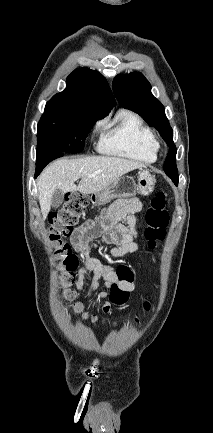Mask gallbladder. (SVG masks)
Returning <instances> with one entry per match:
<instances>
[{
    "instance_id": "gallbladder-1",
    "label": "gallbladder",
    "mask_w": 213,
    "mask_h": 433,
    "mask_svg": "<svg viewBox=\"0 0 213 433\" xmlns=\"http://www.w3.org/2000/svg\"><path fill=\"white\" fill-rule=\"evenodd\" d=\"M64 200V193L57 189L54 191L52 198H51V206L52 208H58Z\"/></svg>"
}]
</instances>
